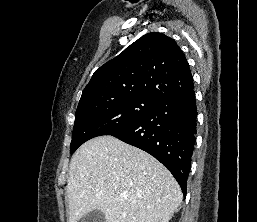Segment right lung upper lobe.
Segmentation results:
<instances>
[{
    "label": "right lung upper lobe",
    "instance_id": "1",
    "mask_svg": "<svg viewBox=\"0 0 257 222\" xmlns=\"http://www.w3.org/2000/svg\"><path fill=\"white\" fill-rule=\"evenodd\" d=\"M191 87L189 64L175 40L151 32L98 68L84 88L79 104L101 97L144 96L160 101Z\"/></svg>",
    "mask_w": 257,
    "mask_h": 222
}]
</instances>
